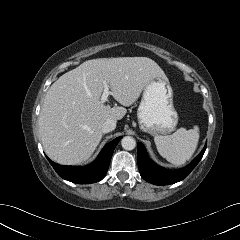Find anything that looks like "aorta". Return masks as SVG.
I'll return each mask as SVG.
<instances>
[{
  "label": "aorta",
  "mask_w": 240,
  "mask_h": 240,
  "mask_svg": "<svg viewBox=\"0 0 240 240\" xmlns=\"http://www.w3.org/2000/svg\"><path fill=\"white\" fill-rule=\"evenodd\" d=\"M121 145H122L123 149L130 151V150H133L136 147V141L131 136H125L121 140Z\"/></svg>",
  "instance_id": "1"
}]
</instances>
